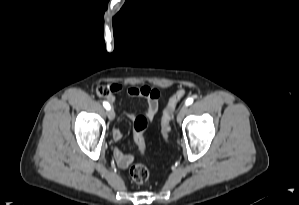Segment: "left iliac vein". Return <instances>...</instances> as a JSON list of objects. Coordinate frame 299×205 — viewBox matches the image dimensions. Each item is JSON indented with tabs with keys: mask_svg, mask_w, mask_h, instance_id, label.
<instances>
[{
	"mask_svg": "<svg viewBox=\"0 0 299 205\" xmlns=\"http://www.w3.org/2000/svg\"><path fill=\"white\" fill-rule=\"evenodd\" d=\"M186 109H187V106H186V105H183V106L181 107V109H180V111L178 112V115H177V121H178V122H181L182 117H183V115H184Z\"/></svg>",
	"mask_w": 299,
	"mask_h": 205,
	"instance_id": "1",
	"label": "left iliac vein"
}]
</instances>
